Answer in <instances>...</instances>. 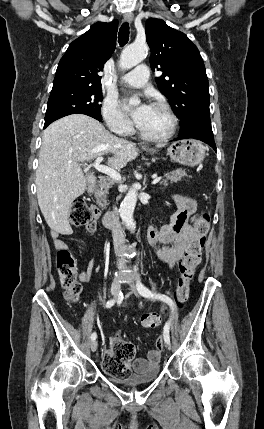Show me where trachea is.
<instances>
[{
	"instance_id": "obj_1",
	"label": "trachea",
	"mask_w": 264,
	"mask_h": 429,
	"mask_svg": "<svg viewBox=\"0 0 264 429\" xmlns=\"http://www.w3.org/2000/svg\"><path fill=\"white\" fill-rule=\"evenodd\" d=\"M129 40V24L123 23L118 33V43L120 46H124Z\"/></svg>"
}]
</instances>
